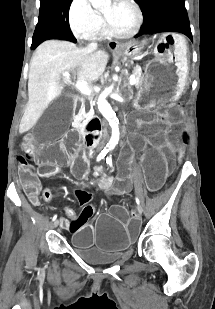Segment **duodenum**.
<instances>
[{
  "mask_svg": "<svg viewBox=\"0 0 215 309\" xmlns=\"http://www.w3.org/2000/svg\"><path fill=\"white\" fill-rule=\"evenodd\" d=\"M77 128H83L84 125L80 120L75 121ZM88 129L85 134V145L89 149L98 147L103 141L102 120L100 118H94L87 125Z\"/></svg>",
  "mask_w": 215,
  "mask_h": 309,
  "instance_id": "obj_1",
  "label": "duodenum"
}]
</instances>
